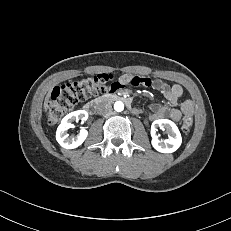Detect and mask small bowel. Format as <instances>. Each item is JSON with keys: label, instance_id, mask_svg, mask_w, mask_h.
<instances>
[{"label": "small bowel", "instance_id": "1", "mask_svg": "<svg viewBox=\"0 0 231 231\" xmlns=\"http://www.w3.org/2000/svg\"><path fill=\"white\" fill-rule=\"evenodd\" d=\"M151 84L164 95L168 104L171 106V108H169L165 104H151V120H157L168 116L171 120L177 122L181 119L182 115H191L193 113L194 105L191 100H185L179 104V107H177L179 99L183 94L182 87L178 84L169 85L160 79H157L152 83L151 79L147 76L124 74L118 80H114L109 87L104 88L103 92L112 93L114 89H123L125 86L131 87L132 89H147Z\"/></svg>", "mask_w": 231, "mask_h": 231}]
</instances>
